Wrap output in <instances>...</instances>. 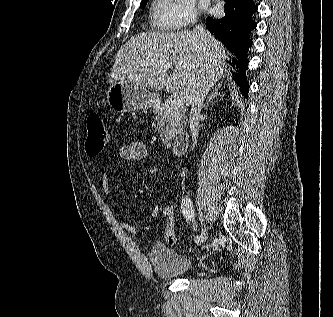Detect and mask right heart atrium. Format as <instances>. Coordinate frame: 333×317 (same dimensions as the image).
Segmentation results:
<instances>
[{
    "instance_id": "1",
    "label": "right heart atrium",
    "mask_w": 333,
    "mask_h": 317,
    "mask_svg": "<svg viewBox=\"0 0 333 317\" xmlns=\"http://www.w3.org/2000/svg\"><path fill=\"white\" fill-rule=\"evenodd\" d=\"M153 12L156 26L164 31L186 28L197 18L193 0H154Z\"/></svg>"
}]
</instances>
